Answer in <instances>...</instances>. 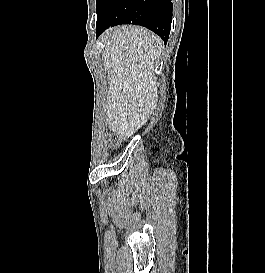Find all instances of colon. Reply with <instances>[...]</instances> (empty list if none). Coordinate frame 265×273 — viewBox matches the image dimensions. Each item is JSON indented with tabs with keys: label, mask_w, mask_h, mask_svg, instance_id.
<instances>
[{
	"label": "colon",
	"mask_w": 265,
	"mask_h": 273,
	"mask_svg": "<svg viewBox=\"0 0 265 273\" xmlns=\"http://www.w3.org/2000/svg\"><path fill=\"white\" fill-rule=\"evenodd\" d=\"M111 139L114 143H117L120 140V136L118 134H113Z\"/></svg>",
	"instance_id": "colon-1"
}]
</instances>
